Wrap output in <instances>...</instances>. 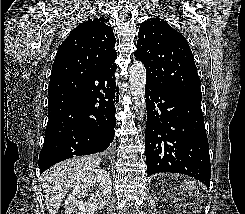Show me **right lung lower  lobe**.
Here are the masks:
<instances>
[{
	"label": "right lung lower lobe",
	"mask_w": 245,
	"mask_h": 214,
	"mask_svg": "<svg viewBox=\"0 0 245 214\" xmlns=\"http://www.w3.org/2000/svg\"><path fill=\"white\" fill-rule=\"evenodd\" d=\"M114 73L97 72L91 87L79 97L49 96L40 173L65 159L102 152L110 146L119 97Z\"/></svg>",
	"instance_id": "1"
}]
</instances>
